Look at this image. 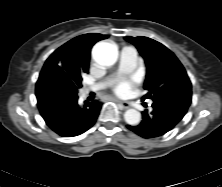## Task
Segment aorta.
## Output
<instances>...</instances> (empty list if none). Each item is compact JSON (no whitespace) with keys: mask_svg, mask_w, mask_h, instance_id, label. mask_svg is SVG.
<instances>
[{"mask_svg":"<svg viewBox=\"0 0 222 187\" xmlns=\"http://www.w3.org/2000/svg\"><path fill=\"white\" fill-rule=\"evenodd\" d=\"M116 48L108 42H99L92 49V57L96 63L102 66H112L117 60ZM124 119L131 126L138 125L141 121V114L135 109H128Z\"/></svg>","mask_w":222,"mask_h":187,"instance_id":"762f6f07","label":"aorta"}]
</instances>
